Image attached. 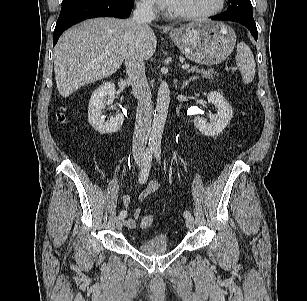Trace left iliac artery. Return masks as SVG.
<instances>
[{
	"label": "left iliac artery",
	"mask_w": 307,
	"mask_h": 301,
	"mask_svg": "<svg viewBox=\"0 0 307 301\" xmlns=\"http://www.w3.org/2000/svg\"><path fill=\"white\" fill-rule=\"evenodd\" d=\"M154 154H155L157 161L160 163L161 162V148H160V146H156L154 148ZM183 215H184L185 218H188V217L191 216V213H190V211L186 210V211H184Z\"/></svg>",
	"instance_id": "44dca946"
}]
</instances>
